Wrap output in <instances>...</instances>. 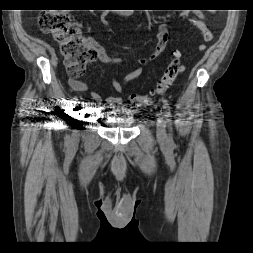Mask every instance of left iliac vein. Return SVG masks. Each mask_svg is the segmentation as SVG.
<instances>
[{
    "instance_id": "obj_1",
    "label": "left iliac vein",
    "mask_w": 253,
    "mask_h": 253,
    "mask_svg": "<svg viewBox=\"0 0 253 253\" xmlns=\"http://www.w3.org/2000/svg\"><path fill=\"white\" fill-rule=\"evenodd\" d=\"M157 139L159 142L167 141L166 122L161 116H159L157 121Z\"/></svg>"
}]
</instances>
